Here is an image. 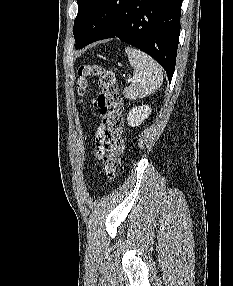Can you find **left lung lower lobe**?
<instances>
[{"label":"left lung lower lobe","instance_id":"left-lung-lower-lobe-1","mask_svg":"<svg viewBox=\"0 0 233 286\" xmlns=\"http://www.w3.org/2000/svg\"><path fill=\"white\" fill-rule=\"evenodd\" d=\"M182 0H100L76 40V49L118 37L152 56L171 82Z\"/></svg>","mask_w":233,"mask_h":286}]
</instances>
